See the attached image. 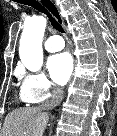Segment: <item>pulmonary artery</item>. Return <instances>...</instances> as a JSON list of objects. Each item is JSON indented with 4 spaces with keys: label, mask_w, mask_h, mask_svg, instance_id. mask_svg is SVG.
Here are the masks:
<instances>
[{
    "label": "pulmonary artery",
    "mask_w": 117,
    "mask_h": 136,
    "mask_svg": "<svg viewBox=\"0 0 117 136\" xmlns=\"http://www.w3.org/2000/svg\"><path fill=\"white\" fill-rule=\"evenodd\" d=\"M64 46H65V43L63 39L59 36H51L44 43L45 49L49 52L59 51L63 49Z\"/></svg>",
    "instance_id": "obj_1"
}]
</instances>
